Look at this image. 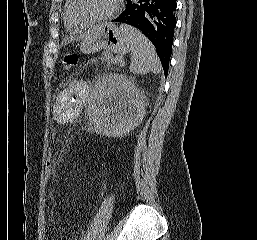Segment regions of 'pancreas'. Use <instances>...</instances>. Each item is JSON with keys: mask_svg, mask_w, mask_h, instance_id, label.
Returning <instances> with one entry per match:
<instances>
[{"mask_svg": "<svg viewBox=\"0 0 257 240\" xmlns=\"http://www.w3.org/2000/svg\"><path fill=\"white\" fill-rule=\"evenodd\" d=\"M117 58H119V56L114 58V56L109 52H104L101 57V59L103 61L107 62L109 65L110 64H118Z\"/></svg>", "mask_w": 257, "mask_h": 240, "instance_id": "cf45deb5", "label": "pancreas"}]
</instances>
